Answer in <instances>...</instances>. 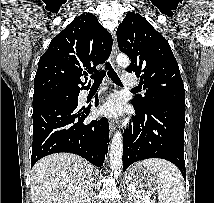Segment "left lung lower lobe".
<instances>
[{
	"label": "left lung lower lobe",
	"instance_id": "obj_1",
	"mask_svg": "<svg viewBox=\"0 0 214 203\" xmlns=\"http://www.w3.org/2000/svg\"><path fill=\"white\" fill-rule=\"evenodd\" d=\"M123 137V171L132 163L162 158L175 164L186 179L184 161L185 107L156 105L137 110Z\"/></svg>",
	"mask_w": 214,
	"mask_h": 203
}]
</instances>
